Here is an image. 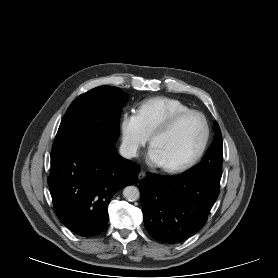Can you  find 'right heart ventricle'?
<instances>
[{
	"instance_id": "obj_1",
	"label": "right heart ventricle",
	"mask_w": 278,
	"mask_h": 278,
	"mask_svg": "<svg viewBox=\"0 0 278 278\" xmlns=\"http://www.w3.org/2000/svg\"><path fill=\"white\" fill-rule=\"evenodd\" d=\"M189 109L185 103L176 98L157 96L141 101L136 112L147 132L151 134L174 114Z\"/></svg>"
}]
</instances>
